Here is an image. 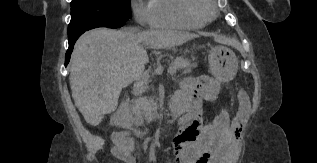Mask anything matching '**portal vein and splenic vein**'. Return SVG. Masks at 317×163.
Returning a JSON list of instances; mask_svg holds the SVG:
<instances>
[{
  "label": "portal vein and splenic vein",
  "instance_id": "18ae733b",
  "mask_svg": "<svg viewBox=\"0 0 317 163\" xmlns=\"http://www.w3.org/2000/svg\"><path fill=\"white\" fill-rule=\"evenodd\" d=\"M169 72H170L171 74H174V73L176 72V70H174V69H172V68H169Z\"/></svg>",
  "mask_w": 317,
  "mask_h": 163
}]
</instances>
